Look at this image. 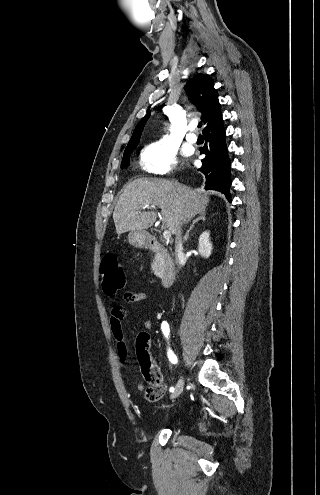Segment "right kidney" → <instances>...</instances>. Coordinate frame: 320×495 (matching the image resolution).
Here are the masks:
<instances>
[{
	"instance_id": "ca27d5eb",
	"label": "right kidney",
	"mask_w": 320,
	"mask_h": 495,
	"mask_svg": "<svg viewBox=\"0 0 320 495\" xmlns=\"http://www.w3.org/2000/svg\"><path fill=\"white\" fill-rule=\"evenodd\" d=\"M209 235V231H204L199 237L198 251L203 258H208L211 255L212 244Z\"/></svg>"
}]
</instances>
